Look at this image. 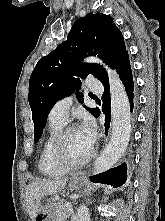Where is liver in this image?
Here are the masks:
<instances>
[{
    "label": "liver",
    "instance_id": "6515ba94",
    "mask_svg": "<svg viewBox=\"0 0 165 221\" xmlns=\"http://www.w3.org/2000/svg\"><path fill=\"white\" fill-rule=\"evenodd\" d=\"M68 179L36 180L26 189V205L30 218L34 221L41 199L46 195L56 194L65 188Z\"/></svg>",
    "mask_w": 165,
    "mask_h": 221
}]
</instances>
